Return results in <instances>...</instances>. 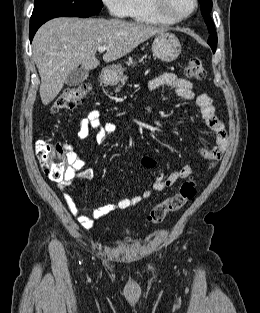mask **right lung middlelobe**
<instances>
[{
  "mask_svg": "<svg viewBox=\"0 0 260 313\" xmlns=\"http://www.w3.org/2000/svg\"><path fill=\"white\" fill-rule=\"evenodd\" d=\"M101 0H35L33 14L59 13L95 15L102 9Z\"/></svg>",
  "mask_w": 260,
  "mask_h": 313,
  "instance_id": "1",
  "label": "right lung middle lobe"
}]
</instances>
